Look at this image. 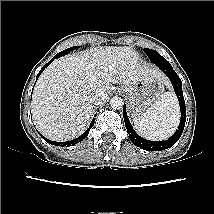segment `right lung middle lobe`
<instances>
[{"label": "right lung middle lobe", "instance_id": "dd1d6c3e", "mask_svg": "<svg viewBox=\"0 0 214 214\" xmlns=\"http://www.w3.org/2000/svg\"><path fill=\"white\" fill-rule=\"evenodd\" d=\"M76 48H79V46H74V47L68 48L66 50H63V51L59 52L58 54H56L55 56H57V57L64 56V55L68 54L70 51L75 50Z\"/></svg>", "mask_w": 214, "mask_h": 214}]
</instances>
